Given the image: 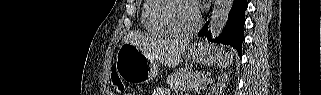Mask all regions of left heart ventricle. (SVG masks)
<instances>
[{"instance_id": "left-heart-ventricle-1", "label": "left heart ventricle", "mask_w": 321, "mask_h": 95, "mask_svg": "<svg viewBox=\"0 0 321 95\" xmlns=\"http://www.w3.org/2000/svg\"><path fill=\"white\" fill-rule=\"evenodd\" d=\"M166 20L178 30L190 29L196 21L193 7L183 1L172 2L164 11Z\"/></svg>"}]
</instances>
